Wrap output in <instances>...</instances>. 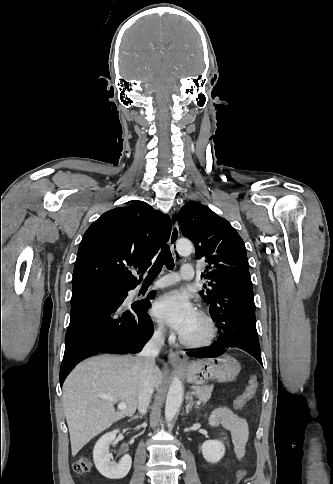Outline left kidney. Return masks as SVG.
<instances>
[{"label": "left kidney", "instance_id": "1", "mask_svg": "<svg viewBox=\"0 0 333 484\" xmlns=\"http://www.w3.org/2000/svg\"><path fill=\"white\" fill-rule=\"evenodd\" d=\"M202 454L209 463L219 462L225 454V446L219 440H208L202 444Z\"/></svg>", "mask_w": 333, "mask_h": 484}]
</instances>
